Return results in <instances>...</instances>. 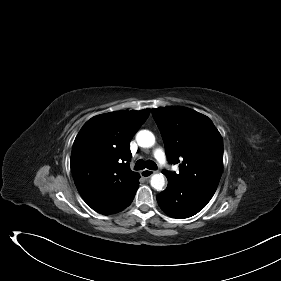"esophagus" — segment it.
I'll return each instance as SVG.
<instances>
[{
  "mask_svg": "<svg viewBox=\"0 0 281 281\" xmlns=\"http://www.w3.org/2000/svg\"><path fill=\"white\" fill-rule=\"evenodd\" d=\"M155 173L154 170L144 169L141 171V176L144 178H149Z\"/></svg>",
  "mask_w": 281,
  "mask_h": 281,
  "instance_id": "obj_1",
  "label": "esophagus"
}]
</instances>
